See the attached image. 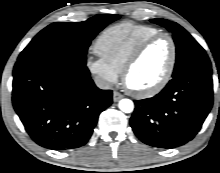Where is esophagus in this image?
<instances>
[{"label":"esophagus","mask_w":220,"mask_h":173,"mask_svg":"<svg viewBox=\"0 0 220 173\" xmlns=\"http://www.w3.org/2000/svg\"><path fill=\"white\" fill-rule=\"evenodd\" d=\"M124 96L119 93L118 91L113 92V101L118 102L120 99H122Z\"/></svg>","instance_id":"esophagus-1"}]
</instances>
